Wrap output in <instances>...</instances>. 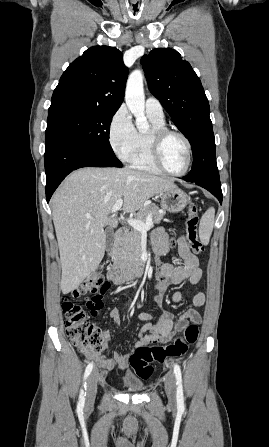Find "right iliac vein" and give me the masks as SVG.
<instances>
[{
	"label": "right iliac vein",
	"instance_id": "obj_1",
	"mask_svg": "<svg viewBox=\"0 0 269 447\" xmlns=\"http://www.w3.org/2000/svg\"><path fill=\"white\" fill-rule=\"evenodd\" d=\"M98 380H99V374L97 370H94L88 377L86 386V403L88 405L93 404L95 401Z\"/></svg>",
	"mask_w": 269,
	"mask_h": 447
}]
</instances>
